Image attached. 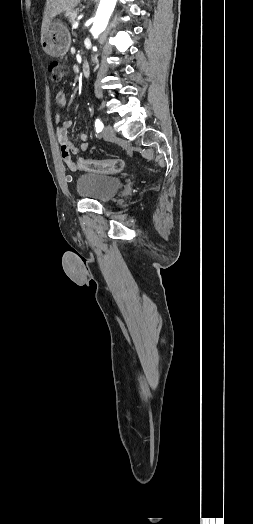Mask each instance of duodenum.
Here are the masks:
<instances>
[{
	"label": "duodenum",
	"mask_w": 253,
	"mask_h": 524,
	"mask_svg": "<svg viewBox=\"0 0 253 524\" xmlns=\"http://www.w3.org/2000/svg\"><path fill=\"white\" fill-rule=\"evenodd\" d=\"M81 71L84 76L90 75V65L87 62L82 63L81 65Z\"/></svg>",
	"instance_id": "duodenum-1"
}]
</instances>
